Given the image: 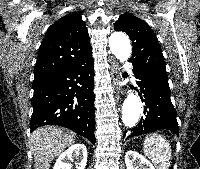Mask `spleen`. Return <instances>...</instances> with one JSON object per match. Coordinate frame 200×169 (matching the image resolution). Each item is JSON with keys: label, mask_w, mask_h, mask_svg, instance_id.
I'll use <instances>...</instances> for the list:
<instances>
[{"label": "spleen", "mask_w": 200, "mask_h": 169, "mask_svg": "<svg viewBox=\"0 0 200 169\" xmlns=\"http://www.w3.org/2000/svg\"><path fill=\"white\" fill-rule=\"evenodd\" d=\"M144 154L154 163L157 169H169L171 163V145L162 135L153 133L145 137Z\"/></svg>", "instance_id": "1"}]
</instances>
